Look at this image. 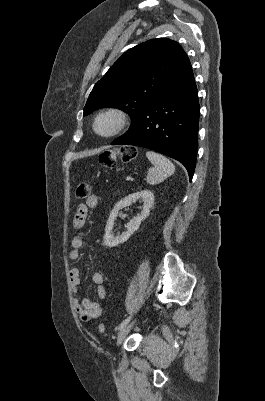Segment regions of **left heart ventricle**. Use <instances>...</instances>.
Returning <instances> with one entry per match:
<instances>
[{
    "label": "left heart ventricle",
    "instance_id": "obj_1",
    "mask_svg": "<svg viewBox=\"0 0 265 401\" xmlns=\"http://www.w3.org/2000/svg\"><path fill=\"white\" fill-rule=\"evenodd\" d=\"M115 126V121L111 117H103L97 124V129L101 134H107L112 131Z\"/></svg>",
    "mask_w": 265,
    "mask_h": 401
}]
</instances>
